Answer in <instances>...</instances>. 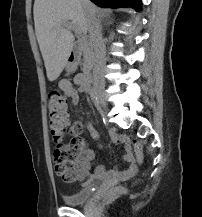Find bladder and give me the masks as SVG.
<instances>
[{"mask_svg": "<svg viewBox=\"0 0 202 217\" xmlns=\"http://www.w3.org/2000/svg\"><path fill=\"white\" fill-rule=\"evenodd\" d=\"M94 181V177L86 179L76 192L63 197L64 202L71 206L84 204L93 195Z\"/></svg>", "mask_w": 202, "mask_h": 217, "instance_id": "obj_1", "label": "bladder"}]
</instances>
